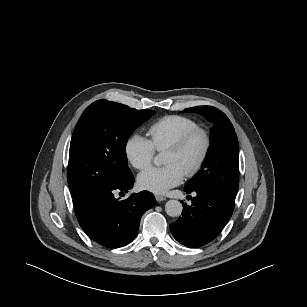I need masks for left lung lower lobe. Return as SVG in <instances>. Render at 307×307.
Listing matches in <instances>:
<instances>
[{
    "mask_svg": "<svg viewBox=\"0 0 307 307\" xmlns=\"http://www.w3.org/2000/svg\"><path fill=\"white\" fill-rule=\"evenodd\" d=\"M185 191L195 192L197 196L192 199V205L183 203L182 216L170 224V231L179 243L200 247L222 231L233 213L234 203L207 188H185Z\"/></svg>",
    "mask_w": 307,
    "mask_h": 307,
    "instance_id": "obj_1",
    "label": "left lung lower lobe"
}]
</instances>
